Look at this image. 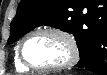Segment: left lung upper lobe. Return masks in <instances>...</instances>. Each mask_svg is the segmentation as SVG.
I'll use <instances>...</instances> for the list:
<instances>
[{"label":"left lung upper lobe","instance_id":"obj_1","mask_svg":"<svg viewBox=\"0 0 107 75\" xmlns=\"http://www.w3.org/2000/svg\"><path fill=\"white\" fill-rule=\"evenodd\" d=\"M86 0H22L10 27L8 44L41 25H50L72 33L79 54H83L84 35L107 40V16H97L85 6ZM87 8V10L85 9Z\"/></svg>","mask_w":107,"mask_h":75}]
</instances>
